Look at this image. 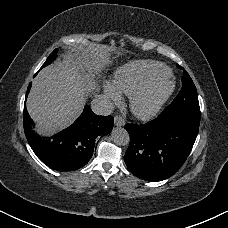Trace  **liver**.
Wrapping results in <instances>:
<instances>
[{
  "mask_svg": "<svg viewBox=\"0 0 228 228\" xmlns=\"http://www.w3.org/2000/svg\"><path fill=\"white\" fill-rule=\"evenodd\" d=\"M90 61L66 60L40 71L33 81L27 100L31 118L42 133L61 130L69 126L81 113L86 99L85 78L97 74V61L107 60L103 46L89 51Z\"/></svg>",
  "mask_w": 228,
  "mask_h": 228,
  "instance_id": "obj_1",
  "label": "liver"
}]
</instances>
